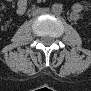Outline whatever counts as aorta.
I'll use <instances>...</instances> for the list:
<instances>
[{"instance_id": "aorta-1", "label": "aorta", "mask_w": 91, "mask_h": 91, "mask_svg": "<svg viewBox=\"0 0 91 91\" xmlns=\"http://www.w3.org/2000/svg\"><path fill=\"white\" fill-rule=\"evenodd\" d=\"M62 5L61 4H53L51 7V11L53 14L59 15L62 13Z\"/></svg>"}]
</instances>
